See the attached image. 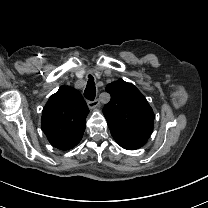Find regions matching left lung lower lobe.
<instances>
[{
	"instance_id": "0a47b994",
	"label": "left lung lower lobe",
	"mask_w": 208,
	"mask_h": 208,
	"mask_svg": "<svg viewBox=\"0 0 208 208\" xmlns=\"http://www.w3.org/2000/svg\"><path fill=\"white\" fill-rule=\"evenodd\" d=\"M108 126L116 143L127 150H136L142 147L149 138L145 131L136 132L112 125Z\"/></svg>"
}]
</instances>
